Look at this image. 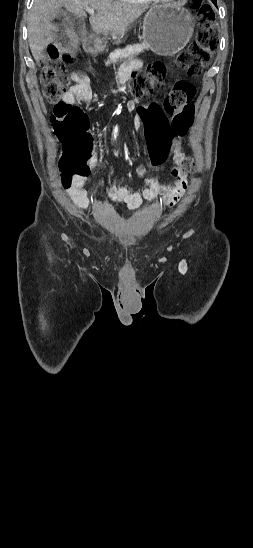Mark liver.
Returning <instances> with one entry per match:
<instances>
[{"label": "liver", "mask_w": 253, "mask_h": 548, "mask_svg": "<svg viewBox=\"0 0 253 548\" xmlns=\"http://www.w3.org/2000/svg\"><path fill=\"white\" fill-rule=\"evenodd\" d=\"M61 7L79 18L86 17L87 9H93L97 13L89 18L92 30L115 40H120L127 28L146 11L144 6L114 0H34L27 28L35 61L42 58L43 50L50 43L52 31L56 29L51 21Z\"/></svg>", "instance_id": "obj_1"}]
</instances>
